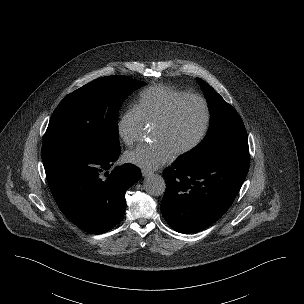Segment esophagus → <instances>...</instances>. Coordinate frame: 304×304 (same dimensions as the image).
Wrapping results in <instances>:
<instances>
[{"label":"esophagus","instance_id":"esophagus-1","mask_svg":"<svg viewBox=\"0 0 304 304\" xmlns=\"http://www.w3.org/2000/svg\"><path fill=\"white\" fill-rule=\"evenodd\" d=\"M141 173H142V176H144V177H147V176L153 174L151 171L144 170V169L141 171Z\"/></svg>","mask_w":304,"mask_h":304}]
</instances>
